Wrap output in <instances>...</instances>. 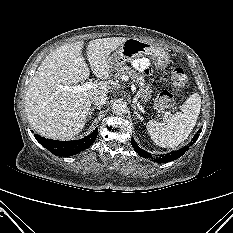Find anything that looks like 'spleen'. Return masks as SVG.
<instances>
[{
    "mask_svg": "<svg viewBox=\"0 0 233 233\" xmlns=\"http://www.w3.org/2000/svg\"><path fill=\"white\" fill-rule=\"evenodd\" d=\"M200 108L201 96L194 93L181 106L180 112L169 116L163 122L150 120L146 127L151 139L163 148L177 147L189 137L195 127Z\"/></svg>",
    "mask_w": 233,
    "mask_h": 233,
    "instance_id": "obj_1",
    "label": "spleen"
}]
</instances>
